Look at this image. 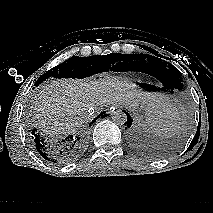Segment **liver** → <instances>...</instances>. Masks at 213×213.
Listing matches in <instances>:
<instances>
[{
  "instance_id": "1",
  "label": "liver",
  "mask_w": 213,
  "mask_h": 213,
  "mask_svg": "<svg viewBox=\"0 0 213 213\" xmlns=\"http://www.w3.org/2000/svg\"><path fill=\"white\" fill-rule=\"evenodd\" d=\"M117 102L130 108L140 102L149 107L164 108L159 94L137 91L136 86L131 83L58 79L35 94L33 118L45 133L59 137L73 133L89 122V108L99 111L103 106Z\"/></svg>"
}]
</instances>
